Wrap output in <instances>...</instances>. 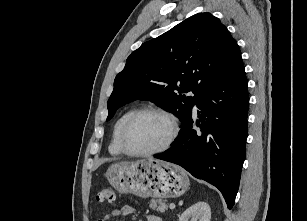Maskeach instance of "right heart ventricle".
<instances>
[{
    "label": "right heart ventricle",
    "instance_id": "right-heart-ventricle-1",
    "mask_svg": "<svg viewBox=\"0 0 307 221\" xmlns=\"http://www.w3.org/2000/svg\"><path fill=\"white\" fill-rule=\"evenodd\" d=\"M137 111L135 108L128 109L125 112H123L119 118L116 120L112 132V138L109 145V152L112 155H121L123 154V151L119 144V137L122 130V127L124 123L127 121V119L135 112Z\"/></svg>",
    "mask_w": 307,
    "mask_h": 221
}]
</instances>
